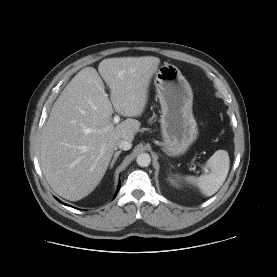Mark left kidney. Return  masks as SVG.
<instances>
[{
    "label": "left kidney",
    "mask_w": 277,
    "mask_h": 277,
    "mask_svg": "<svg viewBox=\"0 0 277 277\" xmlns=\"http://www.w3.org/2000/svg\"><path fill=\"white\" fill-rule=\"evenodd\" d=\"M169 181H170V183L173 185V186H178V183H177V180L176 179H174V178H169Z\"/></svg>",
    "instance_id": "1"
}]
</instances>
